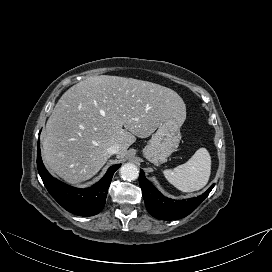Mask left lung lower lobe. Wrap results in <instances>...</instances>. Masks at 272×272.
Masks as SVG:
<instances>
[{
    "instance_id": "1",
    "label": "left lung lower lobe",
    "mask_w": 272,
    "mask_h": 272,
    "mask_svg": "<svg viewBox=\"0 0 272 272\" xmlns=\"http://www.w3.org/2000/svg\"><path fill=\"white\" fill-rule=\"evenodd\" d=\"M139 184L148 212L160 220H175L183 218L193 212L208 196L214 184L201 196L187 200H172L160 194L149 182L143 170H140Z\"/></svg>"
}]
</instances>
